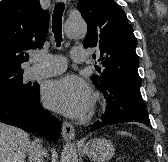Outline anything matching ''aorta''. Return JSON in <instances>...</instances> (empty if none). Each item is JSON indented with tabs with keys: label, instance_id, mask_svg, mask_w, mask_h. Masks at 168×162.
Wrapping results in <instances>:
<instances>
[{
	"label": "aorta",
	"instance_id": "762f6f07",
	"mask_svg": "<svg viewBox=\"0 0 168 162\" xmlns=\"http://www.w3.org/2000/svg\"><path fill=\"white\" fill-rule=\"evenodd\" d=\"M65 35L69 38H82L87 33V26L82 19H68L65 22ZM60 162H78L76 147L72 143H66L61 154Z\"/></svg>",
	"mask_w": 168,
	"mask_h": 162
}]
</instances>
